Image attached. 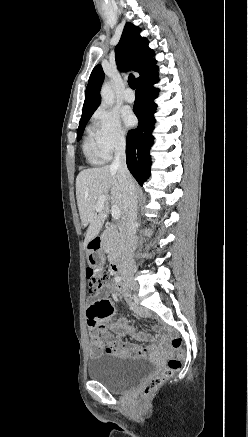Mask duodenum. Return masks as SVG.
<instances>
[{
    "instance_id": "410a0bca",
    "label": "duodenum",
    "mask_w": 248,
    "mask_h": 437,
    "mask_svg": "<svg viewBox=\"0 0 248 437\" xmlns=\"http://www.w3.org/2000/svg\"><path fill=\"white\" fill-rule=\"evenodd\" d=\"M102 247V238L100 236H96L93 239L90 240L87 251L89 252V255H94L95 251L100 250ZM122 270V260L120 258L115 259L112 263V271L115 274L120 273Z\"/></svg>"
}]
</instances>
